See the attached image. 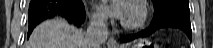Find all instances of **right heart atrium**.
Segmentation results:
<instances>
[{
	"mask_svg": "<svg viewBox=\"0 0 213 48\" xmlns=\"http://www.w3.org/2000/svg\"><path fill=\"white\" fill-rule=\"evenodd\" d=\"M105 19L104 14L100 10H96L92 13V21L95 24H102Z\"/></svg>",
	"mask_w": 213,
	"mask_h": 48,
	"instance_id": "d8ad5b80",
	"label": "right heart atrium"
}]
</instances>
